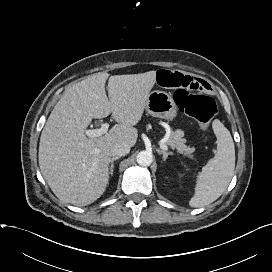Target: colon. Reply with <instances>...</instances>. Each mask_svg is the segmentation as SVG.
Masks as SVG:
<instances>
[{
  "mask_svg": "<svg viewBox=\"0 0 272 272\" xmlns=\"http://www.w3.org/2000/svg\"><path fill=\"white\" fill-rule=\"evenodd\" d=\"M173 97L179 110L195 119L204 130L208 128L217 113L216 103L209 96L178 89Z\"/></svg>",
  "mask_w": 272,
  "mask_h": 272,
  "instance_id": "5ec220e1",
  "label": "colon"
}]
</instances>
